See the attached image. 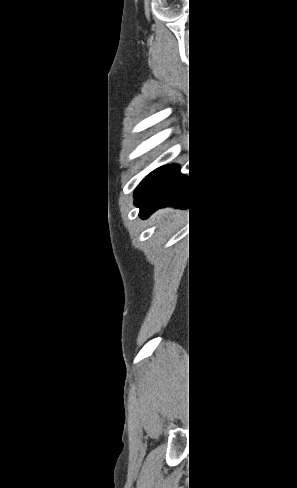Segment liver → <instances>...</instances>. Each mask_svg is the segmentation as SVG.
I'll return each mask as SVG.
<instances>
[{"label":"liver","mask_w":297,"mask_h":488,"mask_svg":"<svg viewBox=\"0 0 297 488\" xmlns=\"http://www.w3.org/2000/svg\"><path fill=\"white\" fill-rule=\"evenodd\" d=\"M166 213H167V211H161L155 215V218L160 220V219H162V217L166 216Z\"/></svg>","instance_id":"liver-1"}]
</instances>
